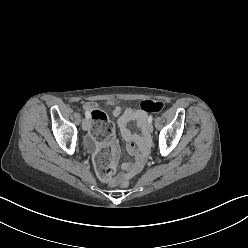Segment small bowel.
<instances>
[{
	"mask_svg": "<svg viewBox=\"0 0 248 248\" xmlns=\"http://www.w3.org/2000/svg\"><path fill=\"white\" fill-rule=\"evenodd\" d=\"M84 108L90 114L92 110L97 108V104L94 102H88L85 104ZM112 115L118 118L117 123L120 129V133L123 139L127 142V149L130 155L133 157L132 162H124L122 164V170L128 176H132L141 170L147 153L148 140L145 134L149 116L146 112L138 108H128L126 110H123L120 105H115L112 108ZM131 122L136 123L138 128L142 131V135L133 133L129 129V124ZM87 143L91 148H95L97 145L95 140L91 136L87 139ZM108 145L111 147L114 160L116 161L117 157L119 156V149L116 141L114 139H111Z\"/></svg>",
	"mask_w": 248,
	"mask_h": 248,
	"instance_id": "c3829d8e",
	"label": "small bowel"
}]
</instances>
